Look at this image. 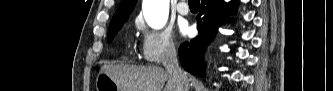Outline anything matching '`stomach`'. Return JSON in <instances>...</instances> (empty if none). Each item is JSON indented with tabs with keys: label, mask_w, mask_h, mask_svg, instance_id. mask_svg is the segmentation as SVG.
I'll list each match as a JSON object with an SVG mask.
<instances>
[{
	"label": "stomach",
	"mask_w": 333,
	"mask_h": 91,
	"mask_svg": "<svg viewBox=\"0 0 333 91\" xmlns=\"http://www.w3.org/2000/svg\"><path fill=\"white\" fill-rule=\"evenodd\" d=\"M95 86L97 91H123L111 77L101 72L96 78Z\"/></svg>",
	"instance_id": "obj_1"
}]
</instances>
